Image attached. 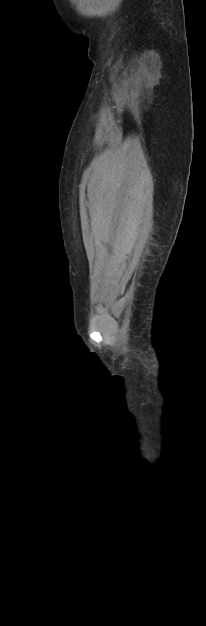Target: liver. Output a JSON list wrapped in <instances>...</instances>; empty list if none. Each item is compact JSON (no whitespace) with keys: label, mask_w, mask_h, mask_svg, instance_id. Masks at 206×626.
<instances>
[{"label":"liver","mask_w":206,"mask_h":626,"mask_svg":"<svg viewBox=\"0 0 206 626\" xmlns=\"http://www.w3.org/2000/svg\"><path fill=\"white\" fill-rule=\"evenodd\" d=\"M91 216H92L93 222H97V219L95 217V213L91 212Z\"/></svg>","instance_id":"6515ba94"}]
</instances>
